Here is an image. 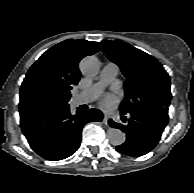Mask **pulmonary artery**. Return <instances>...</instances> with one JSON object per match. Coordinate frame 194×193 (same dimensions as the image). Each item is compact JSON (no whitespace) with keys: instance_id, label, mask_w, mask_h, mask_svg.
Returning <instances> with one entry per match:
<instances>
[{"instance_id":"1","label":"pulmonary artery","mask_w":194,"mask_h":193,"mask_svg":"<svg viewBox=\"0 0 194 193\" xmlns=\"http://www.w3.org/2000/svg\"><path fill=\"white\" fill-rule=\"evenodd\" d=\"M119 72V67L115 63L109 62L101 70L99 81L84 89L74 98L77 105L86 104L95 100L104 87L114 80Z\"/></svg>"}]
</instances>
